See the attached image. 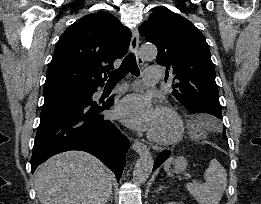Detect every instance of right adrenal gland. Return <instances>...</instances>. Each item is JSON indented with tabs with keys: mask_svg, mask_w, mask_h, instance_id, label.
Instances as JSON below:
<instances>
[{
	"mask_svg": "<svg viewBox=\"0 0 261 204\" xmlns=\"http://www.w3.org/2000/svg\"><path fill=\"white\" fill-rule=\"evenodd\" d=\"M109 201H111V203H112V201H113L112 195L110 196Z\"/></svg>",
	"mask_w": 261,
	"mask_h": 204,
	"instance_id": "2a0ac1e0",
	"label": "right adrenal gland"
}]
</instances>
